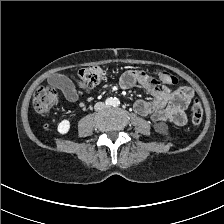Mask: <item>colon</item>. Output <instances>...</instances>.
<instances>
[{
	"label": "colon",
	"mask_w": 224,
	"mask_h": 224,
	"mask_svg": "<svg viewBox=\"0 0 224 224\" xmlns=\"http://www.w3.org/2000/svg\"><path fill=\"white\" fill-rule=\"evenodd\" d=\"M81 80L87 85L98 84L106 76V70L98 65H91L79 71ZM159 78L162 82L175 84L177 79L166 71H159ZM58 101V92L55 87L40 86L35 92L33 106L38 114L48 113ZM203 119V107L199 98L195 97L191 106V121L194 125H199Z\"/></svg>",
	"instance_id": "5ec220e1"
}]
</instances>
